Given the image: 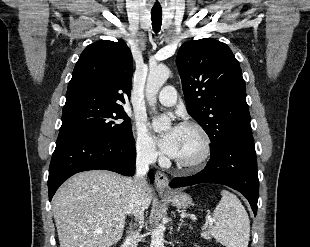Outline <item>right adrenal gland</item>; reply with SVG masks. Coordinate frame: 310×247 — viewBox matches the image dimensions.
<instances>
[{
    "mask_svg": "<svg viewBox=\"0 0 310 247\" xmlns=\"http://www.w3.org/2000/svg\"><path fill=\"white\" fill-rule=\"evenodd\" d=\"M134 226H135V223H134ZM132 227H133L132 224H130V225H129V230H128V232H131V231H132V229H133Z\"/></svg>",
    "mask_w": 310,
    "mask_h": 247,
    "instance_id": "2a0ac1e0",
    "label": "right adrenal gland"
}]
</instances>
